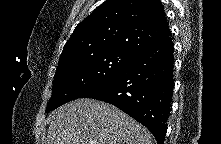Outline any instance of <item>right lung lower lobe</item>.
Instances as JSON below:
<instances>
[{
	"instance_id": "obj_1",
	"label": "right lung lower lobe",
	"mask_w": 221,
	"mask_h": 144,
	"mask_svg": "<svg viewBox=\"0 0 221 144\" xmlns=\"http://www.w3.org/2000/svg\"><path fill=\"white\" fill-rule=\"evenodd\" d=\"M171 35L139 52L118 74L81 98L108 102L147 127L163 144L169 117L173 79Z\"/></svg>"
}]
</instances>
